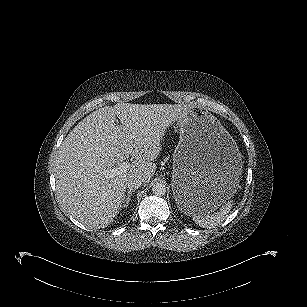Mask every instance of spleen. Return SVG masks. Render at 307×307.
<instances>
[{
	"instance_id": "obj_1",
	"label": "spleen",
	"mask_w": 307,
	"mask_h": 307,
	"mask_svg": "<svg viewBox=\"0 0 307 307\" xmlns=\"http://www.w3.org/2000/svg\"><path fill=\"white\" fill-rule=\"evenodd\" d=\"M233 206V201L230 200L222 205L219 211L210 213L205 209L198 208L193 211L192 218L196 224L203 228H213L220 225L228 216Z\"/></svg>"
}]
</instances>
